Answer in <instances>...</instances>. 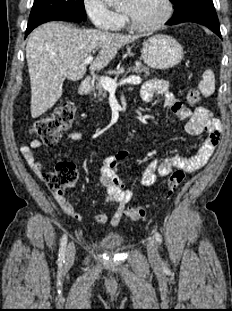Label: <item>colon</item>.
Here are the masks:
<instances>
[{
    "label": "colon",
    "mask_w": 232,
    "mask_h": 311,
    "mask_svg": "<svg viewBox=\"0 0 232 311\" xmlns=\"http://www.w3.org/2000/svg\"><path fill=\"white\" fill-rule=\"evenodd\" d=\"M200 100V93L197 89H191L187 94V102L193 106ZM75 106L69 100H64L54 109V111L42 118L36 119L30 126V132L38 136L47 144H53L57 138L66 131L74 122ZM184 171L174 170L167 182V195L170 196L184 180ZM77 178L75 168L66 163L56 165L54 171L45 175V181L50 190L57 194L63 192L72 186ZM149 213L148 206H136L129 208L125 216L130 221H140L147 217Z\"/></svg>",
    "instance_id": "colon-1"
}]
</instances>
